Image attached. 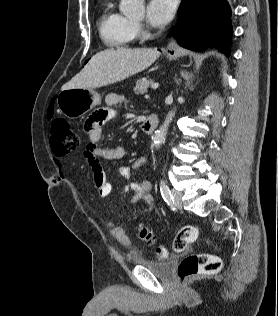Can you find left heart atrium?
Here are the masks:
<instances>
[{
	"label": "left heart atrium",
	"mask_w": 278,
	"mask_h": 316,
	"mask_svg": "<svg viewBox=\"0 0 278 316\" xmlns=\"http://www.w3.org/2000/svg\"><path fill=\"white\" fill-rule=\"evenodd\" d=\"M175 11L174 0H149L146 6V18L153 27L167 24Z\"/></svg>",
	"instance_id": "obj_1"
}]
</instances>
